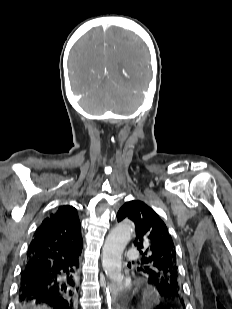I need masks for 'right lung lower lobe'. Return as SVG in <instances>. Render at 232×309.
<instances>
[{
    "mask_svg": "<svg viewBox=\"0 0 232 309\" xmlns=\"http://www.w3.org/2000/svg\"><path fill=\"white\" fill-rule=\"evenodd\" d=\"M27 262L18 289V308L32 309L49 306L53 309H75L73 301L74 272L78 258L54 261L48 267L37 268Z\"/></svg>",
    "mask_w": 232,
    "mask_h": 309,
    "instance_id": "obj_1",
    "label": "right lung lower lobe"
}]
</instances>
